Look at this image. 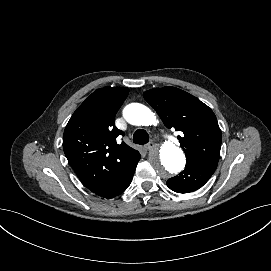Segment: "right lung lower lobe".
Returning a JSON list of instances; mask_svg holds the SVG:
<instances>
[{"mask_svg":"<svg viewBox=\"0 0 271 271\" xmlns=\"http://www.w3.org/2000/svg\"><path fill=\"white\" fill-rule=\"evenodd\" d=\"M140 158L138 154L129 164L118 167L112 177L92 192L104 198H113L121 194L130 185Z\"/></svg>","mask_w":271,"mask_h":271,"instance_id":"right-lung-lower-lobe-1","label":"right lung lower lobe"}]
</instances>
